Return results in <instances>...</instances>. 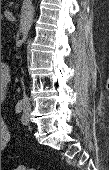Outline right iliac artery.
<instances>
[{
	"instance_id": "right-iliac-artery-1",
	"label": "right iliac artery",
	"mask_w": 109,
	"mask_h": 170,
	"mask_svg": "<svg viewBox=\"0 0 109 170\" xmlns=\"http://www.w3.org/2000/svg\"><path fill=\"white\" fill-rule=\"evenodd\" d=\"M24 108V104L22 102H18L15 107L16 113H21Z\"/></svg>"
}]
</instances>
